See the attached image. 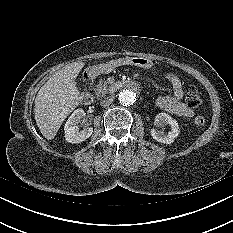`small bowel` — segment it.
Instances as JSON below:
<instances>
[{
  "mask_svg": "<svg viewBox=\"0 0 233 233\" xmlns=\"http://www.w3.org/2000/svg\"><path fill=\"white\" fill-rule=\"evenodd\" d=\"M166 78L172 85L173 95L157 97L156 106L176 116L192 117L193 110L182 101L184 92L181 80L173 73H168Z\"/></svg>",
  "mask_w": 233,
  "mask_h": 233,
  "instance_id": "1",
  "label": "small bowel"
}]
</instances>
